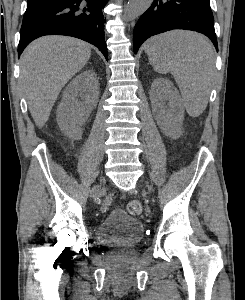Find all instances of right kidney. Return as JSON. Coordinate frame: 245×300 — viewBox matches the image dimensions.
<instances>
[{
    "label": "right kidney",
    "mask_w": 245,
    "mask_h": 300,
    "mask_svg": "<svg viewBox=\"0 0 245 300\" xmlns=\"http://www.w3.org/2000/svg\"><path fill=\"white\" fill-rule=\"evenodd\" d=\"M99 100L98 77L93 70L76 76L66 87L57 110L61 131L70 137L81 138L82 125Z\"/></svg>",
    "instance_id": "ca27d5eb"
}]
</instances>
